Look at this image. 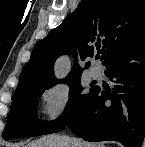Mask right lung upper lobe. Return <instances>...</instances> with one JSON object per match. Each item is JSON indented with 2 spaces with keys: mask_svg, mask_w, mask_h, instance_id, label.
Instances as JSON below:
<instances>
[{
  "mask_svg": "<svg viewBox=\"0 0 145 147\" xmlns=\"http://www.w3.org/2000/svg\"><path fill=\"white\" fill-rule=\"evenodd\" d=\"M145 29V0H82L57 28L53 29L32 50L15 90L31 87H52L59 82L54 77L56 59L66 53L79 54L84 60L92 57L93 44H103L102 64L131 37ZM90 62L86 63V67ZM83 69L75 64L69 75L61 80L81 75Z\"/></svg>",
  "mask_w": 145,
  "mask_h": 147,
  "instance_id": "obj_1",
  "label": "right lung upper lobe"
}]
</instances>
